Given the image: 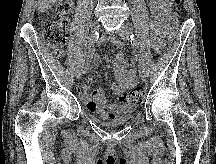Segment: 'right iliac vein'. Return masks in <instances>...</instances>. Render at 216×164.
Returning <instances> with one entry per match:
<instances>
[{"label": "right iliac vein", "mask_w": 216, "mask_h": 164, "mask_svg": "<svg viewBox=\"0 0 216 164\" xmlns=\"http://www.w3.org/2000/svg\"><path fill=\"white\" fill-rule=\"evenodd\" d=\"M99 29H100L99 22H94L92 24V26H91V36H90V38H92L95 35V33H98ZM81 75H82V69H77L76 74H75L76 78L80 79Z\"/></svg>", "instance_id": "1"}]
</instances>
